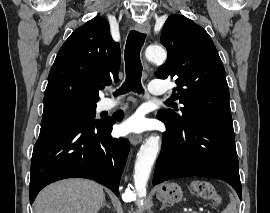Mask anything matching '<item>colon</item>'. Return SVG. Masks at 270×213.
Listing matches in <instances>:
<instances>
[{
  "instance_id": "obj_1",
  "label": "colon",
  "mask_w": 270,
  "mask_h": 213,
  "mask_svg": "<svg viewBox=\"0 0 270 213\" xmlns=\"http://www.w3.org/2000/svg\"><path fill=\"white\" fill-rule=\"evenodd\" d=\"M195 193L203 199L211 200L215 203L220 201V197L214 186L208 181H198L194 183Z\"/></svg>"
}]
</instances>
